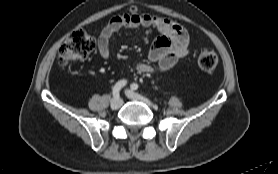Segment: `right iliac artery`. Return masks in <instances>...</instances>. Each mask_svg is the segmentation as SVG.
<instances>
[{
  "mask_svg": "<svg viewBox=\"0 0 278 174\" xmlns=\"http://www.w3.org/2000/svg\"><path fill=\"white\" fill-rule=\"evenodd\" d=\"M126 83H127V80H120L114 85V87L112 89L114 98L119 97V92L126 85Z\"/></svg>",
  "mask_w": 278,
  "mask_h": 174,
  "instance_id": "right-iliac-artery-1",
  "label": "right iliac artery"
}]
</instances>
